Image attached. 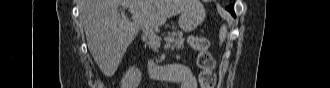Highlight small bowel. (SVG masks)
<instances>
[{"label":"small bowel","instance_id":"obj_1","mask_svg":"<svg viewBox=\"0 0 330 88\" xmlns=\"http://www.w3.org/2000/svg\"><path fill=\"white\" fill-rule=\"evenodd\" d=\"M169 81L177 82L180 88H196L197 82L192 70L181 64L168 65L167 69Z\"/></svg>","mask_w":330,"mask_h":88}]
</instances>
